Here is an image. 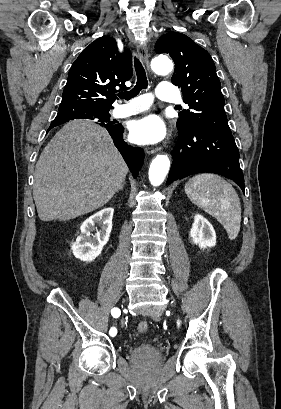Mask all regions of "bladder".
<instances>
[{"label":"bladder","instance_id":"obj_1","mask_svg":"<svg viewBox=\"0 0 281 409\" xmlns=\"http://www.w3.org/2000/svg\"><path fill=\"white\" fill-rule=\"evenodd\" d=\"M134 355H160L152 341L140 340L133 348Z\"/></svg>","mask_w":281,"mask_h":409}]
</instances>
